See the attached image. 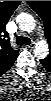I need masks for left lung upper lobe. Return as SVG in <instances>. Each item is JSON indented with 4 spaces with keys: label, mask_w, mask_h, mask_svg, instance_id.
I'll return each instance as SVG.
<instances>
[{
    "label": "left lung upper lobe",
    "mask_w": 51,
    "mask_h": 101,
    "mask_svg": "<svg viewBox=\"0 0 51 101\" xmlns=\"http://www.w3.org/2000/svg\"><path fill=\"white\" fill-rule=\"evenodd\" d=\"M29 6L41 17L44 24V32L48 39L51 35V2L27 1ZM49 58V56H48Z\"/></svg>",
    "instance_id": "5c2ea615"
}]
</instances>
